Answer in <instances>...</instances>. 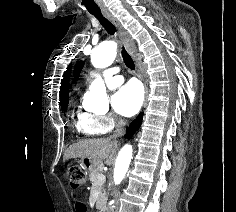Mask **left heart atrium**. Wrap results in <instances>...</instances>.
Wrapping results in <instances>:
<instances>
[{
    "mask_svg": "<svg viewBox=\"0 0 236 212\" xmlns=\"http://www.w3.org/2000/svg\"><path fill=\"white\" fill-rule=\"evenodd\" d=\"M143 98L144 94L140 84L131 81L113 95L112 106L116 113L130 117L139 111Z\"/></svg>",
    "mask_w": 236,
    "mask_h": 212,
    "instance_id": "obj_1",
    "label": "left heart atrium"
}]
</instances>
